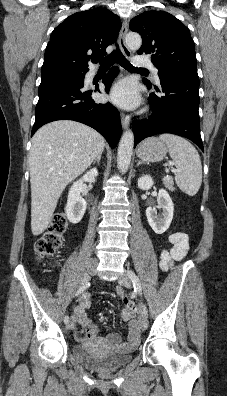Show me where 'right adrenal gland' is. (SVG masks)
<instances>
[{"instance_id":"1","label":"right adrenal gland","mask_w":227,"mask_h":396,"mask_svg":"<svg viewBox=\"0 0 227 396\" xmlns=\"http://www.w3.org/2000/svg\"><path fill=\"white\" fill-rule=\"evenodd\" d=\"M101 155H102V153L101 154H99L95 159H94V163L95 162H97L98 163V165H99V163H100V160H101Z\"/></svg>"}]
</instances>
